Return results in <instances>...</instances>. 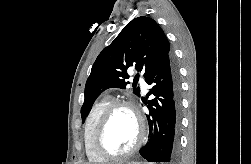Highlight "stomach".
<instances>
[{
  "instance_id": "obj_1",
  "label": "stomach",
  "mask_w": 251,
  "mask_h": 164,
  "mask_svg": "<svg viewBox=\"0 0 251 164\" xmlns=\"http://www.w3.org/2000/svg\"><path fill=\"white\" fill-rule=\"evenodd\" d=\"M120 164H124V163H120ZM126 164H142L140 162H129V163H126Z\"/></svg>"
}]
</instances>
